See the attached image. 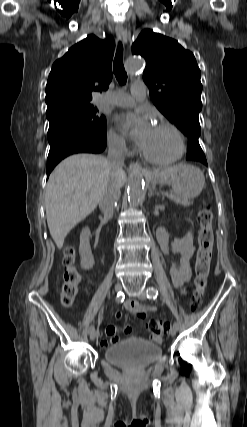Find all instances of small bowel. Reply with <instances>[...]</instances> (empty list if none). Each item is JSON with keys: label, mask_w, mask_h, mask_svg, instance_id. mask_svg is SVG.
<instances>
[{"label": "small bowel", "mask_w": 247, "mask_h": 427, "mask_svg": "<svg viewBox=\"0 0 247 427\" xmlns=\"http://www.w3.org/2000/svg\"><path fill=\"white\" fill-rule=\"evenodd\" d=\"M156 237L164 254L172 258L170 267L171 281L176 288H180L191 278V258L195 250L193 230L189 229L184 236L170 240L167 232L163 228H158ZM124 307L139 319H144L147 314L156 311V307L147 306L134 300H127L124 303ZM115 317L116 319H121L122 312L117 311ZM124 332L127 334L131 332L129 324L124 327ZM106 335L109 337L110 343L116 344L119 342L117 328L114 325H109L106 328ZM152 340L160 343L161 338L152 336ZM108 344L109 341L107 339L101 341L102 346H107Z\"/></svg>", "instance_id": "1"}]
</instances>
